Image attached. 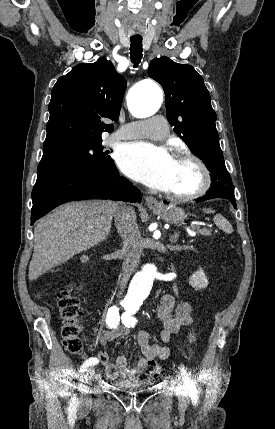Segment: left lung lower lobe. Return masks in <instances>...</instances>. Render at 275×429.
I'll list each match as a JSON object with an SVG mask.
<instances>
[{"label": "left lung lower lobe", "instance_id": "1", "mask_svg": "<svg viewBox=\"0 0 275 429\" xmlns=\"http://www.w3.org/2000/svg\"><path fill=\"white\" fill-rule=\"evenodd\" d=\"M213 198H223L231 202L234 208H236L234 188L226 185L219 184L211 186L210 190L206 193L205 196L197 199L196 201H205ZM164 203H167L166 201Z\"/></svg>", "mask_w": 275, "mask_h": 429}]
</instances>
